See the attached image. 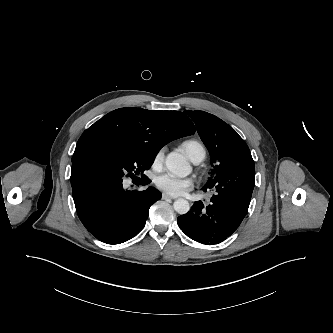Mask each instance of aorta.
Instances as JSON below:
<instances>
[{"mask_svg": "<svg viewBox=\"0 0 333 333\" xmlns=\"http://www.w3.org/2000/svg\"><path fill=\"white\" fill-rule=\"evenodd\" d=\"M165 165L170 173L181 178L188 176L192 169L187 160L177 152H171L168 154L165 160ZM173 207L174 210L181 215L186 214L190 209L189 202L183 198L175 200Z\"/></svg>", "mask_w": 333, "mask_h": 333, "instance_id": "aorta-1", "label": "aorta"}]
</instances>
